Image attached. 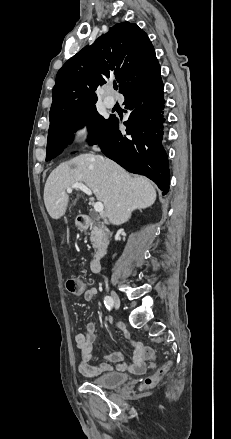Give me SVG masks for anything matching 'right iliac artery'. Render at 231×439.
<instances>
[{"label": "right iliac artery", "mask_w": 231, "mask_h": 439, "mask_svg": "<svg viewBox=\"0 0 231 439\" xmlns=\"http://www.w3.org/2000/svg\"><path fill=\"white\" fill-rule=\"evenodd\" d=\"M104 304L107 309H111L113 307V300L110 296H105L104 298Z\"/></svg>", "instance_id": "82829eb1"}]
</instances>
